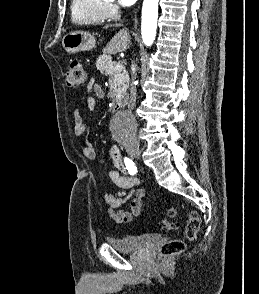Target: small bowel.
Here are the masks:
<instances>
[{
    "instance_id": "1",
    "label": "small bowel",
    "mask_w": 259,
    "mask_h": 294,
    "mask_svg": "<svg viewBox=\"0 0 259 294\" xmlns=\"http://www.w3.org/2000/svg\"><path fill=\"white\" fill-rule=\"evenodd\" d=\"M88 91L95 93L94 97H88L87 106L90 110H94L96 100L104 97V91L101 86L89 83ZM73 130L77 136L84 135L89 128L83 120L82 113L79 109L73 112ZM81 152L87 159L93 160L96 158V150L93 144L86 141L82 147ZM109 156L114 162L116 170L108 172L110 180L120 189L115 194L107 193L104 195V201L109 207V215L111 219L119 224L129 223L137 217L142 208L145 192L140 188V180L128 174V169L125 165L124 158L117 149H110ZM130 200V211L121 209V205Z\"/></svg>"
}]
</instances>
